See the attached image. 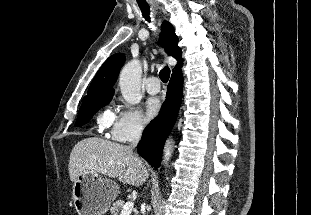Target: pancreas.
Instances as JSON below:
<instances>
[{"label":"pancreas","instance_id":"pancreas-1","mask_svg":"<svg viewBox=\"0 0 311 215\" xmlns=\"http://www.w3.org/2000/svg\"><path fill=\"white\" fill-rule=\"evenodd\" d=\"M124 201L123 200H117L112 204V207L110 208V212L112 215H118L119 212L123 209Z\"/></svg>","mask_w":311,"mask_h":215}]
</instances>
